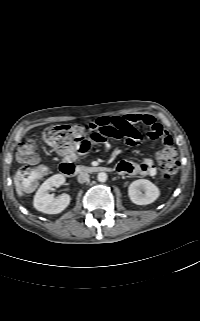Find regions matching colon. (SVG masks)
<instances>
[{"instance_id": "obj_1", "label": "colon", "mask_w": 200, "mask_h": 321, "mask_svg": "<svg viewBox=\"0 0 200 321\" xmlns=\"http://www.w3.org/2000/svg\"><path fill=\"white\" fill-rule=\"evenodd\" d=\"M109 137H116V131L110 126L96 127L89 125H54L48 127L43 134L45 142L61 152L77 150L86 153L99 143H103ZM18 158L33 167H24L19 171V177L23 185L34 188L39 179L46 174V167L39 165V156L36 151V143L32 137L22 141L18 150ZM158 163L162 172V178L170 180L178 170L179 161L176 152L172 148L164 150L158 155Z\"/></svg>"}]
</instances>
